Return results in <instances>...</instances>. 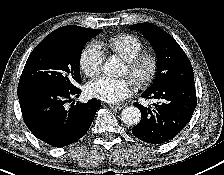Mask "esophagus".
I'll return each instance as SVG.
<instances>
[{
    "mask_svg": "<svg viewBox=\"0 0 224 175\" xmlns=\"http://www.w3.org/2000/svg\"><path fill=\"white\" fill-rule=\"evenodd\" d=\"M125 105L123 103H117V104H114V103H110L109 104V107L111 108H115V109H122Z\"/></svg>",
    "mask_w": 224,
    "mask_h": 175,
    "instance_id": "obj_1",
    "label": "esophagus"
}]
</instances>
